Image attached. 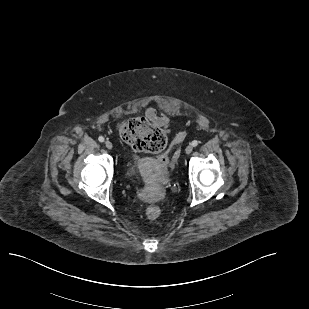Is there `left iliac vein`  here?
<instances>
[{"label":"left iliac vein","mask_w":309,"mask_h":309,"mask_svg":"<svg viewBox=\"0 0 309 309\" xmlns=\"http://www.w3.org/2000/svg\"><path fill=\"white\" fill-rule=\"evenodd\" d=\"M193 151V146L192 145H188L185 149L186 154H190Z\"/></svg>","instance_id":"4c4485c4"}]
</instances>
